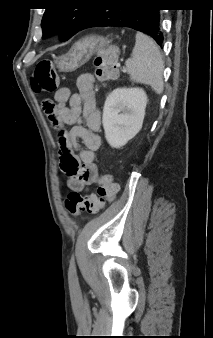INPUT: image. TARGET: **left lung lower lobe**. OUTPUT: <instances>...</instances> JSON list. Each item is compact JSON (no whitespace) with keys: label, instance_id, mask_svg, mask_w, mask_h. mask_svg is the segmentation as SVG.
Instances as JSON below:
<instances>
[{"label":"left lung lower lobe","instance_id":"obj_1","mask_svg":"<svg viewBox=\"0 0 213 338\" xmlns=\"http://www.w3.org/2000/svg\"><path fill=\"white\" fill-rule=\"evenodd\" d=\"M159 10L152 0H105L86 19L80 30L125 26L148 34L161 46L163 33Z\"/></svg>","mask_w":213,"mask_h":338}]
</instances>
